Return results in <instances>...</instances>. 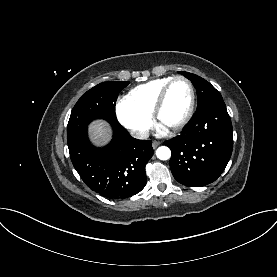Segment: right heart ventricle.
Masks as SVG:
<instances>
[{"instance_id":"1","label":"right heart ventricle","mask_w":277,"mask_h":277,"mask_svg":"<svg viewBox=\"0 0 277 277\" xmlns=\"http://www.w3.org/2000/svg\"><path fill=\"white\" fill-rule=\"evenodd\" d=\"M172 78L173 77L157 78L140 84L132 88L128 92L126 98L138 110L151 116L159 93Z\"/></svg>"}]
</instances>
